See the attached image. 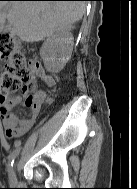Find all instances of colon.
<instances>
[{
	"label": "colon",
	"instance_id": "5ec220e1",
	"mask_svg": "<svg viewBox=\"0 0 137 189\" xmlns=\"http://www.w3.org/2000/svg\"><path fill=\"white\" fill-rule=\"evenodd\" d=\"M0 61L5 63L0 73V104L21 92L26 96V106H35L32 70L39 62L36 59H27L18 43L4 33H0Z\"/></svg>",
	"mask_w": 137,
	"mask_h": 189
}]
</instances>
